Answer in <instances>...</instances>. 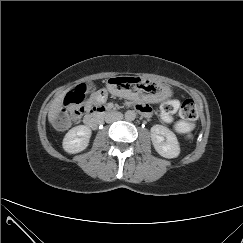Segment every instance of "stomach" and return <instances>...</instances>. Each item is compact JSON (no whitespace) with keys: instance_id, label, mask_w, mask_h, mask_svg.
<instances>
[{"instance_id":"0dacf381","label":"stomach","mask_w":243,"mask_h":243,"mask_svg":"<svg viewBox=\"0 0 243 243\" xmlns=\"http://www.w3.org/2000/svg\"><path fill=\"white\" fill-rule=\"evenodd\" d=\"M108 85L113 91H119L131 99L161 102L171 96L165 86L146 82L139 77L116 76L109 80Z\"/></svg>"}]
</instances>
